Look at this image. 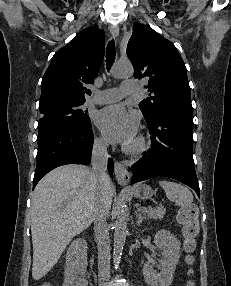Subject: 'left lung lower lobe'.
Wrapping results in <instances>:
<instances>
[{
  "mask_svg": "<svg viewBox=\"0 0 231 286\" xmlns=\"http://www.w3.org/2000/svg\"><path fill=\"white\" fill-rule=\"evenodd\" d=\"M146 122L152 136L151 148L132 166V183L165 176L188 185L199 196L193 160L192 112L161 109Z\"/></svg>",
  "mask_w": 231,
  "mask_h": 286,
  "instance_id": "0a47b994",
  "label": "left lung lower lobe"
}]
</instances>
